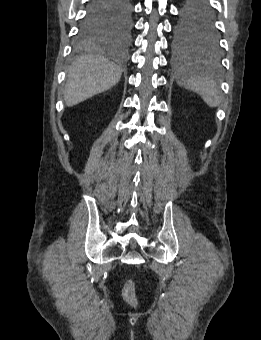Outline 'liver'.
Returning <instances> with one entry per match:
<instances>
[{"instance_id": "liver-1", "label": "liver", "mask_w": 261, "mask_h": 340, "mask_svg": "<svg viewBox=\"0 0 261 340\" xmlns=\"http://www.w3.org/2000/svg\"><path fill=\"white\" fill-rule=\"evenodd\" d=\"M121 75V68L103 56L78 57L69 69L64 90L65 104L74 106L107 91L119 82Z\"/></svg>"}]
</instances>
